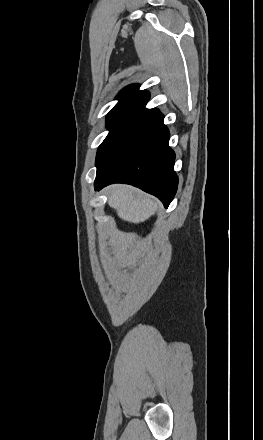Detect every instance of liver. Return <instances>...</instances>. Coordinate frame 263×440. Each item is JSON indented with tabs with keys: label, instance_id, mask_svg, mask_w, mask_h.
I'll return each mask as SVG.
<instances>
[{
	"label": "liver",
	"instance_id": "1",
	"mask_svg": "<svg viewBox=\"0 0 263 440\" xmlns=\"http://www.w3.org/2000/svg\"><path fill=\"white\" fill-rule=\"evenodd\" d=\"M107 192L109 206L117 211L121 219L131 223L144 222L158 208L153 199L129 186H112Z\"/></svg>",
	"mask_w": 263,
	"mask_h": 440
}]
</instances>
